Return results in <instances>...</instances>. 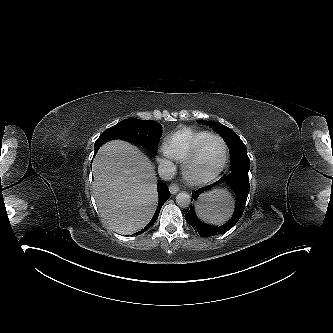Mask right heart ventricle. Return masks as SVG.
Returning <instances> with one entry per match:
<instances>
[{
	"label": "right heart ventricle",
	"mask_w": 333,
	"mask_h": 333,
	"mask_svg": "<svg viewBox=\"0 0 333 333\" xmlns=\"http://www.w3.org/2000/svg\"><path fill=\"white\" fill-rule=\"evenodd\" d=\"M208 135L210 133L204 130L182 128L167 137L165 149L170 157L183 162L195 145Z\"/></svg>",
	"instance_id": "right-heart-ventricle-1"
}]
</instances>
